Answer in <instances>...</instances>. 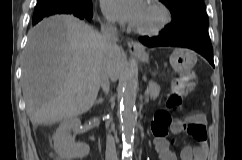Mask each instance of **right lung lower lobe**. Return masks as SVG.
I'll return each mask as SVG.
<instances>
[{
    "instance_id": "right-lung-lower-lobe-1",
    "label": "right lung lower lobe",
    "mask_w": 242,
    "mask_h": 160,
    "mask_svg": "<svg viewBox=\"0 0 242 160\" xmlns=\"http://www.w3.org/2000/svg\"><path fill=\"white\" fill-rule=\"evenodd\" d=\"M55 14H65V15H71V16H76L80 19H87V20H91L92 16H93V12H86V13H80V12H52L49 13L47 15H43V16H39L36 18H33L32 24L35 25L37 24L40 20H42L44 17H48L51 15H55Z\"/></svg>"
}]
</instances>
